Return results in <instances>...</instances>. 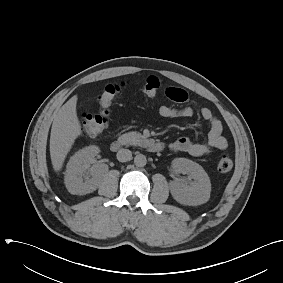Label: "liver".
Returning a JSON list of instances; mask_svg holds the SVG:
<instances>
[{
	"mask_svg": "<svg viewBox=\"0 0 283 283\" xmlns=\"http://www.w3.org/2000/svg\"><path fill=\"white\" fill-rule=\"evenodd\" d=\"M77 96L70 98L53 117L50 135V156L53 169L59 172L75 139L81 134L76 112Z\"/></svg>",
	"mask_w": 283,
	"mask_h": 283,
	"instance_id": "obj_1",
	"label": "liver"
}]
</instances>
